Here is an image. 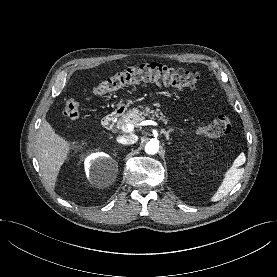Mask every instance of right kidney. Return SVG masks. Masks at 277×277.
<instances>
[{
  "instance_id": "1",
  "label": "right kidney",
  "mask_w": 277,
  "mask_h": 277,
  "mask_svg": "<svg viewBox=\"0 0 277 277\" xmlns=\"http://www.w3.org/2000/svg\"><path fill=\"white\" fill-rule=\"evenodd\" d=\"M109 161H110V158L108 157V155H106L104 153H95V154L89 156L85 161V168H86L87 174L88 175L92 174L93 168L97 164L106 163ZM95 179L98 180V177L96 176ZM99 184H100V182H99Z\"/></svg>"
}]
</instances>
